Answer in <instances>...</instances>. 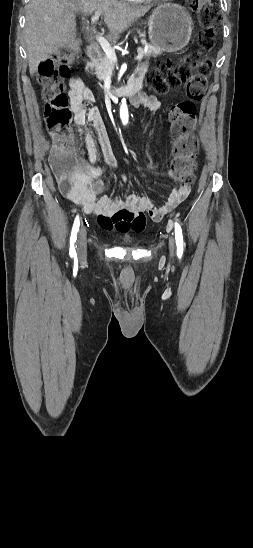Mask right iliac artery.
<instances>
[{"instance_id":"1","label":"right iliac artery","mask_w":253,"mask_h":548,"mask_svg":"<svg viewBox=\"0 0 253 548\" xmlns=\"http://www.w3.org/2000/svg\"><path fill=\"white\" fill-rule=\"evenodd\" d=\"M79 225H80L79 216H77L75 218V221L72 227L71 237H70V256L71 257H76V250H75L74 243L77 239V232L79 230Z\"/></svg>"}]
</instances>
